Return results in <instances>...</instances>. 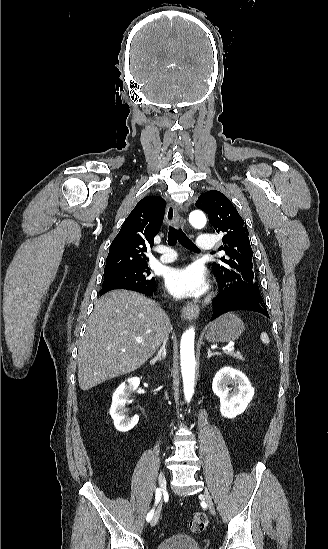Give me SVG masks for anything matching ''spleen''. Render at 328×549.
Listing matches in <instances>:
<instances>
[{
  "label": "spleen",
  "instance_id": "spleen-1",
  "mask_svg": "<svg viewBox=\"0 0 328 549\" xmlns=\"http://www.w3.org/2000/svg\"><path fill=\"white\" fill-rule=\"evenodd\" d=\"M260 339L262 343H265V345H268V343H270L267 333H261Z\"/></svg>",
  "mask_w": 328,
  "mask_h": 549
}]
</instances>
